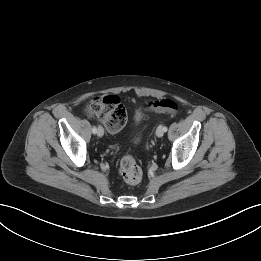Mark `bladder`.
Here are the masks:
<instances>
[{"label":"bladder","instance_id":"31cf9c89","mask_svg":"<svg viewBox=\"0 0 261 261\" xmlns=\"http://www.w3.org/2000/svg\"><path fill=\"white\" fill-rule=\"evenodd\" d=\"M143 119V114L140 111H136L133 117V121L135 124H138Z\"/></svg>","mask_w":261,"mask_h":261}]
</instances>
